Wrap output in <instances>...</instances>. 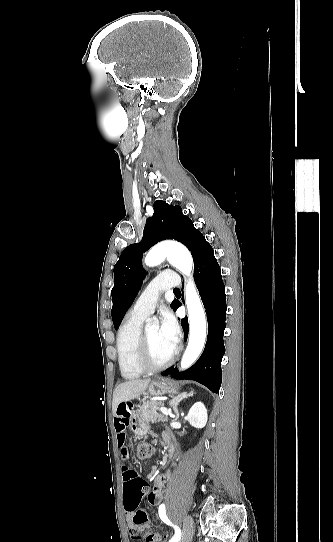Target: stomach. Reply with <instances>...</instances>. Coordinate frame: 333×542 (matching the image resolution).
<instances>
[{"mask_svg": "<svg viewBox=\"0 0 333 542\" xmlns=\"http://www.w3.org/2000/svg\"><path fill=\"white\" fill-rule=\"evenodd\" d=\"M146 394L157 398V396H163V394H179V392L177 390V384H174L171 380H158V382H150ZM137 420H139V418H137ZM147 430H149V426L144 424V422L132 424V438L135 441H140Z\"/></svg>", "mask_w": 333, "mask_h": 542, "instance_id": "1", "label": "stomach"}]
</instances>
